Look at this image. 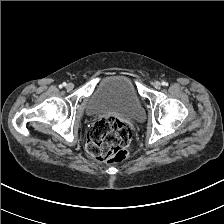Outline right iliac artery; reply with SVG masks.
Instances as JSON below:
<instances>
[{
    "mask_svg": "<svg viewBox=\"0 0 224 224\" xmlns=\"http://www.w3.org/2000/svg\"><path fill=\"white\" fill-rule=\"evenodd\" d=\"M63 86H66V83H62V85H60L59 87L62 88Z\"/></svg>",
    "mask_w": 224,
    "mask_h": 224,
    "instance_id": "1",
    "label": "right iliac artery"
}]
</instances>
